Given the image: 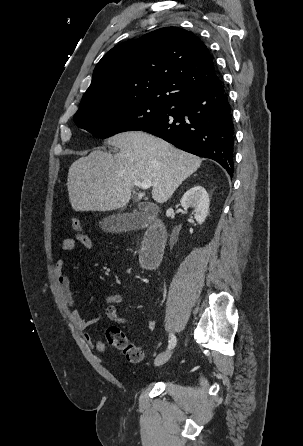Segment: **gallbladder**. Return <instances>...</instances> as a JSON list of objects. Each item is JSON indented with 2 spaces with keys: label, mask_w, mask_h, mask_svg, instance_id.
I'll return each mask as SVG.
<instances>
[{
  "label": "gallbladder",
  "mask_w": 303,
  "mask_h": 446,
  "mask_svg": "<svg viewBox=\"0 0 303 446\" xmlns=\"http://www.w3.org/2000/svg\"><path fill=\"white\" fill-rule=\"evenodd\" d=\"M148 218H145L143 214L131 213V214H119L117 216H110L105 218L100 224L102 228L107 231H122L128 228H135L145 223Z\"/></svg>",
  "instance_id": "bac80fb5"
}]
</instances>
